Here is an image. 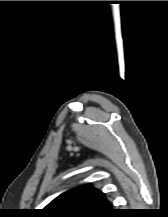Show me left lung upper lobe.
Returning <instances> with one entry per match:
<instances>
[{"instance_id":"5c2ea615","label":"left lung upper lobe","mask_w":168,"mask_h":217,"mask_svg":"<svg viewBox=\"0 0 168 217\" xmlns=\"http://www.w3.org/2000/svg\"><path fill=\"white\" fill-rule=\"evenodd\" d=\"M104 193L91 185L62 193L43 212L48 217H99L110 210Z\"/></svg>"}]
</instances>
